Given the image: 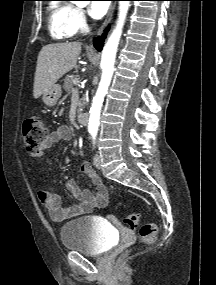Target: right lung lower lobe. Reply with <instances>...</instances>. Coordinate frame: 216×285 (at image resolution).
Segmentation results:
<instances>
[{
    "label": "right lung lower lobe",
    "mask_w": 216,
    "mask_h": 285,
    "mask_svg": "<svg viewBox=\"0 0 216 285\" xmlns=\"http://www.w3.org/2000/svg\"><path fill=\"white\" fill-rule=\"evenodd\" d=\"M108 31V28L105 30V33H103L102 37H97L95 40H94V46L96 47V49L98 51H101L102 50V47H103V44H104V41L103 39L106 37V32Z\"/></svg>",
    "instance_id": "1"
}]
</instances>
